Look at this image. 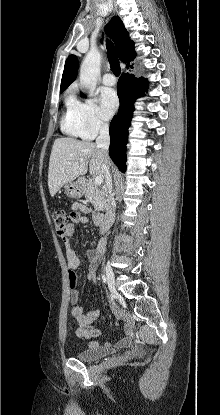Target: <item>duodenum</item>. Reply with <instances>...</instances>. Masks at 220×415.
I'll list each match as a JSON object with an SVG mask.
<instances>
[{
  "instance_id": "1",
  "label": "duodenum",
  "mask_w": 220,
  "mask_h": 415,
  "mask_svg": "<svg viewBox=\"0 0 220 415\" xmlns=\"http://www.w3.org/2000/svg\"><path fill=\"white\" fill-rule=\"evenodd\" d=\"M114 216H115L114 209L112 207L108 208L106 216L102 219V221L100 223L101 233H102L103 237H106L108 235L109 224L113 220Z\"/></svg>"
}]
</instances>
